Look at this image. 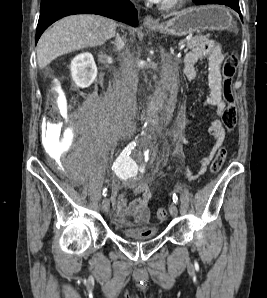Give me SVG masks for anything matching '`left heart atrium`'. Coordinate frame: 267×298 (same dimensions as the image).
<instances>
[{"label": "left heart atrium", "mask_w": 267, "mask_h": 298, "mask_svg": "<svg viewBox=\"0 0 267 298\" xmlns=\"http://www.w3.org/2000/svg\"><path fill=\"white\" fill-rule=\"evenodd\" d=\"M151 2H154V3H159L161 2L162 0H150Z\"/></svg>", "instance_id": "39dd6f15"}]
</instances>
